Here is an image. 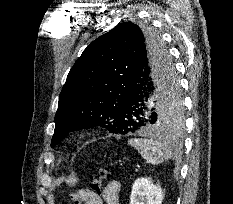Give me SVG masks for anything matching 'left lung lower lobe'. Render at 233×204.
Wrapping results in <instances>:
<instances>
[{
	"instance_id": "left-lung-lower-lobe-1",
	"label": "left lung lower lobe",
	"mask_w": 233,
	"mask_h": 204,
	"mask_svg": "<svg viewBox=\"0 0 233 204\" xmlns=\"http://www.w3.org/2000/svg\"><path fill=\"white\" fill-rule=\"evenodd\" d=\"M172 83L178 85L177 75L169 73L163 53L150 55L144 49L140 50L116 117L123 134L161 130L157 104Z\"/></svg>"
}]
</instances>
